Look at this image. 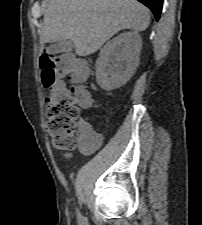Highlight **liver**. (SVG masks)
<instances>
[{
	"label": "liver",
	"instance_id": "obj_1",
	"mask_svg": "<svg viewBox=\"0 0 202 225\" xmlns=\"http://www.w3.org/2000/svg\"><path fill=\"white\" fill-rule=\"evenodd\" d=\"M41 42L71 40L78 56L95 53L124 29L144 31L148 9L137 0H44Z\"/></svg>",
	"mask_w": 202,
	"mask_h": 225
}]
</instances>
